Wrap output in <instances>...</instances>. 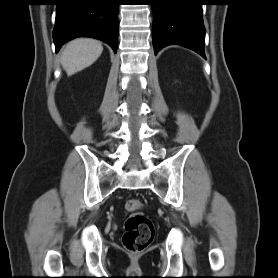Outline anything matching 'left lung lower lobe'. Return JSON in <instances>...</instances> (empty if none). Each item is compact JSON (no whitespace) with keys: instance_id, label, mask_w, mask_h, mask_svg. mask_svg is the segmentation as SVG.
I'll use <instances>...</instances> for the list:
<instances>
[{"instance_id":"0a47b994","label":"left lung lower lobe","mask_w":278,"mask_h":278,"mask_svg":"<svg viewBox=\"0 0 278 278\" xmlns=\"http://www.w3.org/2000/svg\"><path fill=\"white\" fill-rule=\"evenodd\" d=\"M203 0H152L153 46L157 53L172 44L204 53Z\"/></svg>"}]
</instances>
